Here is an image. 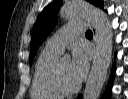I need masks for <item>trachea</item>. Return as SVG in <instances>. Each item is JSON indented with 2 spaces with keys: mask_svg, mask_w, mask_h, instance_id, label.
<instances>
[{
  "mask_svg": "<svg viewBox=\"0 0 128 99\" xmlns=\"http://www.w3.org/2000/svg\"><path fill=\"white\" fill-rule=\"evenodd\" d=\"M86 35H91V36H92V35H93V33H92V31H91V30H87V31H86Z\"/></svg>",
  "mask_w": 128,
  "mask_h": 99,
  "instance_id": "trachea-1",
  "label": "trachea"
}]
</instances>
